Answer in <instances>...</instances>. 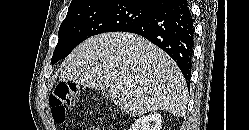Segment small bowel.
Listing matches in <instances>:
<instances>
[{"label": "small bowel", "mask_w": 249, "mask_h": 130, "mask_svg": "<svg viewBox=\"0 0 249 130\" xmlns=\"http://www.w3.org/2000/svg\"><path fill=\"white\" fill-rule=\"evenodd\" d=\"M84 130H102L99 125H92L89 127H86Z\"/></svg>", "instance_id": "small-bowel-1"}]
</instances>
